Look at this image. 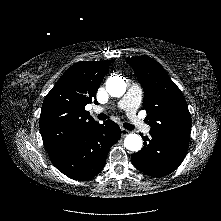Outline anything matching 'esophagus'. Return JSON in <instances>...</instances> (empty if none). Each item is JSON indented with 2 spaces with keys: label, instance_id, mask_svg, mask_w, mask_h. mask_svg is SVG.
<instances>
[{
  "label": "esophagus",
  "instance_id": "34e87169",
  "mask_svg": "<svg viewBox=\"0 0 221 221\" xmlns=\"http://www.w3.org/2000/svg\"><path fill=\"white\" fill-rule=\"evenodd\" d=\"M129 133H130L129 130L122 128V130H121L122 136H126V135H128Z\"/></svg>",
  "mask_w": 221,
  "mask_h": 221
}]
</instances>
